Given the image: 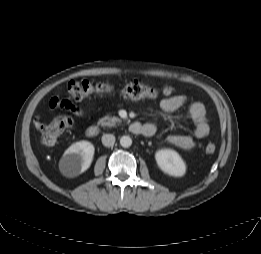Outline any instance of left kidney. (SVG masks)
<instances>
[{
    "mask_svg": "<svg viewBox=\"0 0 261 254\" xmlns=\"http://www.w3.org/2000/svg\"><path fill=\"white\" fill-rule=\"evenodd\" d=\"M156 162L159 168L175 177H181L186 172V165L180 155L170 149L158 150L155 154Z\"/></svg>",
    "mask_w": 261,
    "mask_h": 254,
    "instance_id": "1",
    "label": "left kidney"
}]
</instances>
